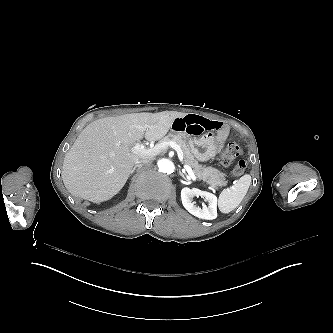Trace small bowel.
I'll return each mask as SVG.
<instances>
[{
    "label": "small bowel",
    "mask_w": 333,
    "mask_h": 333,
    "mask_svg": "<svg viewBox=\"0 0 333 333\" xmlns=\"http://www.w3.org/2000/svg\"><path fill=\"white\" fill-rule=\"evenodd\" d=\"M173 128L177 132H186L192 135L201 134L204 130L209 129L210 133L220 134L224 138V123L219 120H210L200 115L187 114L177 118L173 123Z\"/></svg>",
    "instance_id": "c3829d8e"
}]
</instances>
